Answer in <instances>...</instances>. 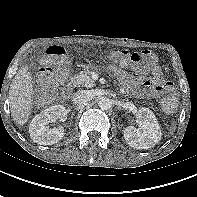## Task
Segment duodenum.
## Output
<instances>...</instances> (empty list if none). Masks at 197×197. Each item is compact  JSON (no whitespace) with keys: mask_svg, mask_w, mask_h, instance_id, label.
I'll use <instances>...</instances> for the list:
<instances>
[{"mask_svg":"<svg viewBox=\"0 0 197 197\" xmlns=\"http://www.w3.org/2000/svg\"><path fill=\"white\" fill-rule=\"evenodd\" d=\"M71 89H72V88H71V87H69V88H68V91H71Z\"/></svg>","mask_w":197,"mask_h":197,"instance_id":"410a0bca","label":"duodenum"}]
</instances>
